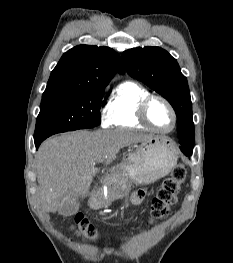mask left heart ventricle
<instances>
[{
    "instance_id": "left-heart-ventricle-1",
    "label": "left heart ventricle",
    "mask_w": 233,
    "mask_h": 263,
    "mask_svg": "<svg viewBox=\"0 0 233 263\" xmlns=\"http://www.w3.org/2000/svg\"><path fill=\"white\" fill-rule=\"evenodd\" d=\"M148 117L158 129L168 130L172 126V115L167 106L160 100H154L148 108Z\"/></svg>"
}]
</instances>
